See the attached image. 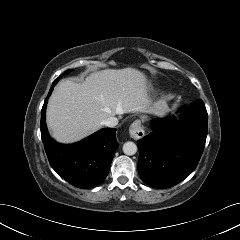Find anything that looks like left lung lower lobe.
<instances>
[{
    "instance_id": "obj_1",
    "label": "left lung lower lobe",
    "mask_w": 240,
    "mask_h": 240,
    "mask_svg": "<svg viewBox=\"0 0 240 240\" xmlns=\"http://www.w3.org/2000/svg\"><path fill=\"white\" fill-rule=\"evenodd\" d=\"M183 117L152 121L150 134L137 141L138 172L155 188L172 187L196 168L205 147L208 114L201 99L181 108Z\"/></svg>"
}]
</instances>
